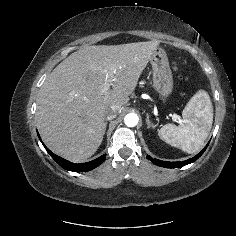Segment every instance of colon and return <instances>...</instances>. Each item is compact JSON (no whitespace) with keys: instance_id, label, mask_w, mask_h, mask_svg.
Segmentation results:
<instances>
[{"instance_id":"5ec220e1","label":"colon","mask_w":236,"mask_h":236,"mask_svg":"<svg viewBox=\"0 0 236 236\" xmlns=\"http://www.w3.org/2000/svg\"><path fill=\"white\" fill-rule=\"evenodd\" d=\"M173 70H174V72H175L176 78H177L178 80H182V79H183V75L180 73V71H179L177 65H174V66H173Z\"/></svg>"}]
</instances>
